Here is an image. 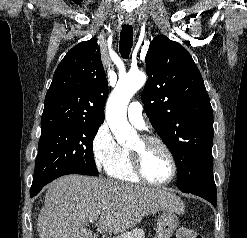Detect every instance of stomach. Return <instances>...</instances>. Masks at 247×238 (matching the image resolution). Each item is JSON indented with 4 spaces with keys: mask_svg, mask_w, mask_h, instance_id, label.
<instances>
[{
    "mask_svg": "<svg viewBox=\"0 0 247 238\" xmlns=\"http://www.w3.org/2000/svg\"><path fill=\"white\" fill-rule=\"evenodd\" d=\"M177 225L178 219L176 215L172 211L166 209L158 219L154 238H171Z\"/></svg>",
    "mask_w": 247,
    "mask_h": 238,
    "instance_id": "obj_1",
    "label": "stomach"
}]
</instances>
